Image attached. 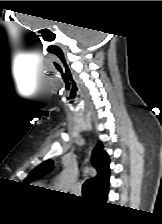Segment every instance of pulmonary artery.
<instances>
[{"label": "pulmonary artery", "instance_id": "pulmonary-artery-1", "mask_svg": "<svg viewBox=\"0 0 162 224\" xmlns=\"http://www.w3.org/2000/svg\"><path fill=\"white\" fill-rule=\"evenodd\" d=\"M80 190H81V184H80V183H77V184L72 188V191L75 192V193L80 192Z\"/></svg>", "mask_w": 162, "mask_h": 224}]
</instances>
